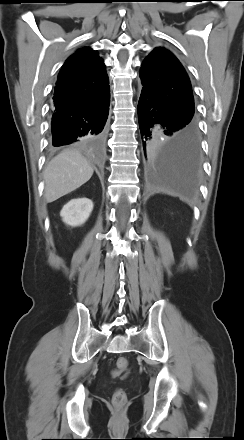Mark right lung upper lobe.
I'll use <instances>...</instances> for the list:
<instances>
[{
    "mask_svg": "<svg viewBox=\"0 0 244 440\" xmlns=\"http://www.w3.org/2000/svg\"><path fill=\"white\" fill-rule=\"evenodd\" d=\"M109 80L98 53L83 47L62 66L54 91V110H70L109 94Z\"/></svg>",
    "mask_w": 244,
    "mask_h": 440,
    "instance_id": "right-lung-upper-lobe-1",
    "label": "right lung upper lobe"
}]
</instances>
